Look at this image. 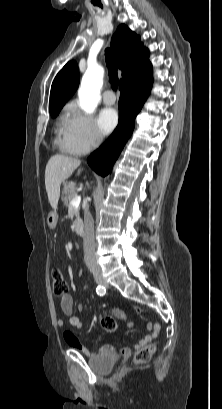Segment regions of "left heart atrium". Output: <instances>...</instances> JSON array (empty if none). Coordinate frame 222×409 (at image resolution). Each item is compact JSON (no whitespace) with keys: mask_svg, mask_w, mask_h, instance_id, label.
Returning a JSON list of instances; mask_svg holds the SVG:
<instances>
[{"mask_svg":"<svg viewBox=\"0 0 222 409\" xmlns=\"http://www.w3.org/2000/svg\"><path fill=\"white\" fill-rule=\"evenodd\" d=\"M98 127L103 134L110 133L118 123V114L113 108L103 109L97 119Z\"/></svg>","mask_w":222,"mask_h":409,"instance_id":"39dd6f15","label":"left heart atrium"}]
</instances>
